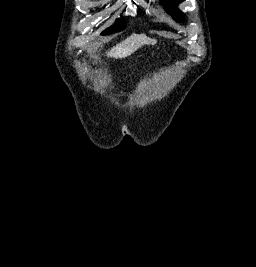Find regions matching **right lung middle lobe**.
Masks as SVG:
<instances>
[{
    "instance_id": "obj_1",
    "label": "right lung middle lobe",
    "mask_w": 256,
    "mask_h": 267,
    "mask_svg": "<svg viewBox=\"0 0 256 267\" xmlns=\"http://www.w3.org/2000/svg\"><path fill=\"white\" fill-rule=\"evenodd\" d=\"M126 27V22L124 19H118L116 24L111 26L110 28L106 29L102 35L109 34L115 31H121Z\"/></svg>"
}]
</instances>
